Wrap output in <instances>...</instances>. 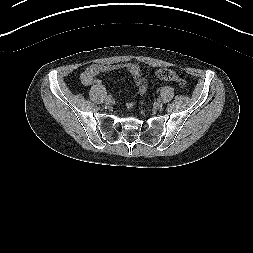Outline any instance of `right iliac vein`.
<instances>
[{
  "label": "right iliac vein",
  "mask_w": 253,
  "mask_h": 253,
  "mask_svg": "<svg viewBox=\"0 0 253 253\" xmlns=\"http://www.w3.org/2000/svg\"><path fill=\"white\" fill-rule=\"evenodd\" d=\"M112 103L111 99H106V104L110 105Z\"/></svg>",
  "instance_id": "63e3f726"
}]
</instances>
